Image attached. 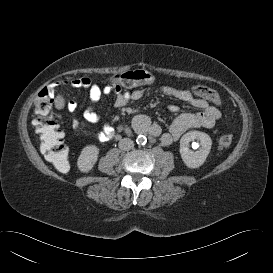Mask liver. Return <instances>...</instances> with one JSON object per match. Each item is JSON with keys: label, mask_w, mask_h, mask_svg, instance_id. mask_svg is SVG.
Wrapping results in <instances>:
<instances>
[{"label": "liver", "mask_w": 273, "mask_h": 273, "mask_svg": "<svg viewBox=\"0 0 273 273\" xmlns=\"http://www.w3.org/2000/svg\"><path fill=\"white\" fill-rule=\"evenodd\" d=\"M64 105H65V100H64V98H63L61 95H58V96L56 97V100H55V107H56L57 109H62V108H64Z\"/></svg>", "instance_id": "obj_1"}]
</instances>
